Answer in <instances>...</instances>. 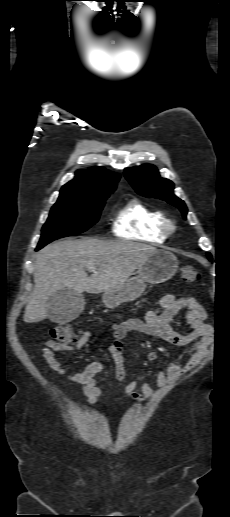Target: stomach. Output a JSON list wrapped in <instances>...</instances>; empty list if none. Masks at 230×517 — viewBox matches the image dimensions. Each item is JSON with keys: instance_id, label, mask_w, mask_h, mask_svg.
Returning a JSON list of instances; mask_svg holds the SVG:
<instances>
[{"instance_id": "0dacf381", "label": "stomach", "mask_w": 230, "mask_h": 517, "mask_svg": "<svg viewBox=\"0 0 230 517\" xmlns=\"http://www.w3.org/2000/svg\"><path fill=\"white\" fill-rule=\"evenodd\" d=\"M178 269V260L166 250H157L141 266L136 275L123 285L104 292L103 303L108 308H116L125 302L136 300L145 291L146 284H157L171 279Z\"/></svg>"}]
</instances>
